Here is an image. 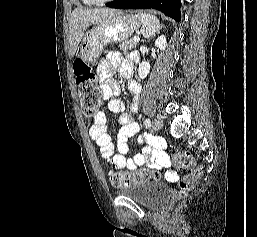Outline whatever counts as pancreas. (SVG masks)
<instances>
[{
	"label": "pancreas",
	"instance_id": "obj_1",
	"mask_svg": "<svg viewBox=\"0 0 257 237\" xmlns=\"http://www.w3.org/2000/svg\"><path fill=\"white\" fill-rule=\"evenodd\" d=\"M136 45H137V42H135L134 39H130V40L122 41L119 44V47H120L121 50L126 52L127 50H131V49L135 48Z\"/></svg>",
	"mask_w": 257,
	"mask_h": 237
}]
</instances>
